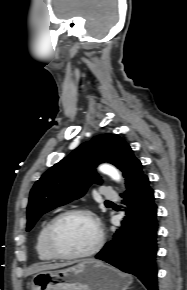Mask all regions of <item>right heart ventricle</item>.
Instances as JSON below:
<instances>
[{
	"label": "right heart ventricle",
	"instance_id": "1",
	"mask_svg": "<svg viewBox=\"0 0 187 290\" xmlns=\"http://www.w3.org/2000/svg\"><path fill=\"white\" fill-rule=\"evenodd\" d=\"M51 220L47 221L40 229L36 240V252L38 258L42 261H53L56 258L49 252L46 245V231Z\"/></svg>",
	"mask_w": 187,
	"mask_h": 290
}]
</instances>
